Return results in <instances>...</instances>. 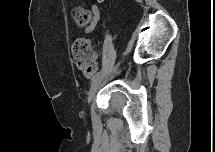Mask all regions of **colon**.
Masks as SVG:
<instances>
[{"label": "colon", "mask_w": 215, "mask_h": 152, "mask_svg": "<svg viewBox=\"0 0 215 152\" xmlns=\"http://www.w3.org/2000/svg\"><path fill=\"white\" fill-rule=\"evenodd\" d=\"M72 16L80 27H85L90 22L89 12L80 6L72 8ZM71 52L77 68L82 71L85 77H91L97 70L91 41L85 38H77L71 45Z\"/></svg>", "instance_id": "colon-1"}]
</instances>
